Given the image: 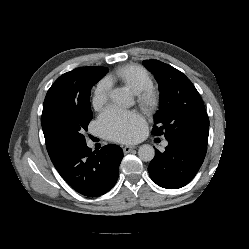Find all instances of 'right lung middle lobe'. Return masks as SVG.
I'll return each mask as SVG.
<instances>
[{
    "label": "right lung middle lobe",
    "mask_w": 249,
    "mask_h": 249,
    "mask_svg": "<svg viewBox=\"0 0 249 249\" xmlns=\"http://www.w3.org/2000/svg\"><path fill=\"white\" fill-rule=\"evenodd\" d=\"M107 72L105 67L90 66L77 94L50 115L45 129L56 147L85 143L83 133L88 130L92 119L89 100L91 88Z\"/></svg>",
    "instance_id": "obj_1"
}]
</instances>
